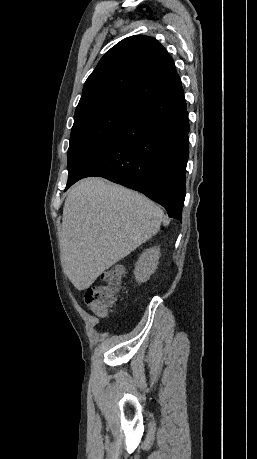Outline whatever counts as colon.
Instances as JSON below:
<instances>
[{
    "mask_svg": "<svg viewBox=\"0 0 257 459\" xmlns=\"http://www.w3.org/2000/svg\"><path fill=\"white\" fill-rule=\"evenodd\" d=\"M123 270L119 266L109 269L105 282L89 287L84 296L85 304L95 314L103 316L117 301Z\"/></svg>",
    "mask_w": 257,
    "mask_h": 459,
    "instance_id": "colon-1",
    "label": "colon"
}]
</instances>
